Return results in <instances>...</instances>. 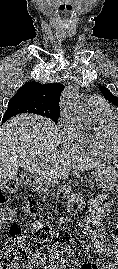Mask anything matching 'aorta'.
I'll list each match as a JSON object with an SVG mask.
<instances>
[{"label": "aorta", "mask_w": 118, "mask_h": 269, "mask_svg": "<svg viewBox=\"0 0 118 269\" xmlns=\"http://www.w3.org/2000/svg\"><path fill=\"white\" fill-rule=\"evenodd\" d=\"M62 107L67 113L74 115L82 122L86 121V125L91 126V123L87 121L86 110L74 88H69L65 91L62 99Z\"/></svg>", "instance_id": "obj_1"}]
</instances>
